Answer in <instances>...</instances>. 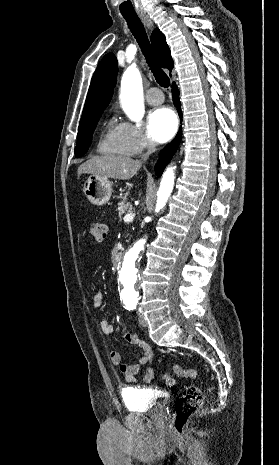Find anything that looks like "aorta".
Segmentation results:
<instances>
[{
    "instance_id": "obj_1",
    "label": "aorta",
    "mask_w": 279,
    "mask_h": 465,
    "mask_svg": "<svg viewBox=\"0 0 279 465\" xmlns=\"http://www.w3.org/2000/svg\"><path fill=\"white\" fill-rule=\"evenodd\" d=\"M120 101L127 116L138 123L144 115V102L142 78L135 66L128 67L123 74ZM175 168L168 167L163 174L157 193L156 212L164 208L172 193ZM145 243V239H140L124 255L119 274L120 296L124 303L137 299L138 261Z\"/></svg>"
}]
</instances>
